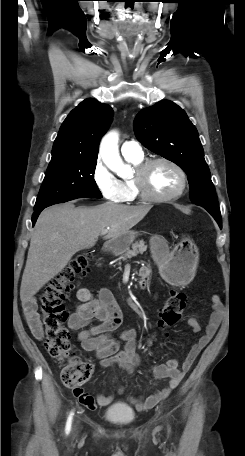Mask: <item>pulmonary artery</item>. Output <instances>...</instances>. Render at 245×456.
Instances as JSON below:
<instances>
[{
	"label": "pulmonary artery",
	"instance_id": "pulmonary-artery-1",
	"mask_svg": "<svg viewBox=\"0 0 245 456\" xmlns=\"http://www.w3.org/2000/svg\"><path fill=\"white\" fill-rule=\"evenodd\" d=\"M121 153L124 157L143 156L141 146L135 141H125L121 146Z\"/></svg>",
	"mask_w": 245,
	"mask_h": 456
}]
</instances>
